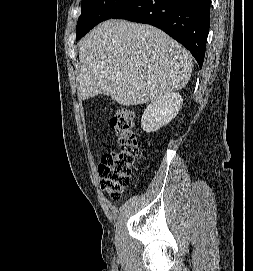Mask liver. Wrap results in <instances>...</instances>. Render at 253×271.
<instances>
[{"instance_id": "obj_1", "label": "liver", "mask_w": 253, "mask_h": 271, "mask_svg": "<svg viewBox=\"0 0 253 271\" xmlns=\"http://www.w3.org/2000/svg\"><path fill=\"white\" fill-rule=\"evenodd\" d=\"M80 98L105 94L141 105L184 88L192 73L189 52L166 33L126 20L100 23L81 41Z\"/></svg>"}]
</instances>
